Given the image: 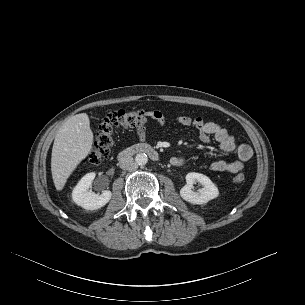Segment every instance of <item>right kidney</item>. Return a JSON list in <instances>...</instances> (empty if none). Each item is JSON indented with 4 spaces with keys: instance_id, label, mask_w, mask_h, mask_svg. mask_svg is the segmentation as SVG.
Listing matches in <instances>:
<instances>
[{
    "instance_id": "right-kidney-1",
    "label": "right kidney",
    "mask_w": 305,
    "mask_h": 305,
    "mask_svg": "<svg viewBox=\"0 0 305 305\" xmlns=\"http://www.w3.org/2000/svg\"><path fill=\"white\" fill-rule=\"evenodd\" d=\"M95 175V172L87 173L72 191L73 201L86 210H96L105 206L112 196L109 190H104L100 195L89 190Z\"/></svg>"
}]
</instances>
